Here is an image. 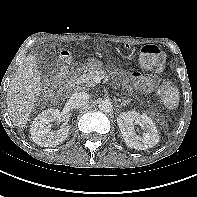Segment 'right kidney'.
<instances>
[{
    "instance_id": "obj_1",
    "label": "right kidney",
    "mask_w": 197,
    "mask_h": 197,
    "mask_svg": "<svg viewBox=\"0 0 197 197\" xmlns=\"http://www.w3.org/2000/svg\"><path fill=\"white\" fill-rule=\"evenodd\" d=\"M62 115L59 109L50 108L39 114L30 128L31 139L41 147H54L62 143L69 134V125H62L56 131L51 130V122L60 123Z\"/></svg>"
}]
</instances>
